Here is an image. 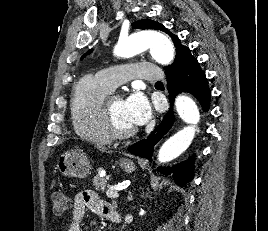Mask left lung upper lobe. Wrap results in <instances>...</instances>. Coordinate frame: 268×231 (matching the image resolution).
Returning a JSON list of instances; mask_svg holds the SVG:
<instances>
[{
	"label": "left lung upper lobe",
	"instance_id": "obj_1",
	"mask_svg": "<svg viewBox=\"0 0 268 231\" xmlns=\"http://www.w3.org/2000/svg\"><path fill=\"white\" fill-rule=\"evenodd\" d=\"M132 27L138 28V29L160 30V31L165 32L166 34H168L171 37V39L174 43V46L176 47V58H175L172 65L165 67V73L181 68L187 62V60H189L191 57H193L190 53V49L181 44L178 36L171 33L167 28L164 27V25H162L158 22H155V21L150 20V19H144V20L134 22L132 24ZM90 52H91V50L88 51V53H90Z\"/></svg>",
	"mask_w": 268,
	"mask_h": 231
}]
</instances>
